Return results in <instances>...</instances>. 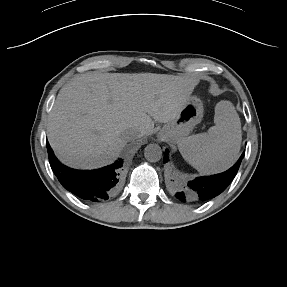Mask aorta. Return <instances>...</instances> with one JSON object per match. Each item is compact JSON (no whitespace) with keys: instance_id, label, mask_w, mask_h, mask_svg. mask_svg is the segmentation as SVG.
Returning a JSON list of instances; mask_svg holds the SVG:
<instances>
[{"instance_id":"obj_1","label":"aorta","mask_w":287,"mask_h":287,"mask_svg":"<svg viewBox=\"0 0 287 287\" xmlns=\"http://www.w3.org/2000/svg\"><path fill=\"white\" fill-rule=\"evenodd\" d=\"M144 157L149 162H157L162 157V149L158 144H148L144 149Z\"/></svg>"}]
</instances>
